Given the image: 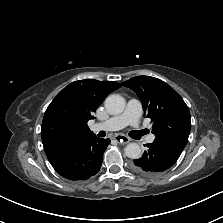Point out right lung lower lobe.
Here are the masks:
<instances>
[{"instance_id": "obj_1", "label": "right lung lower lobe", "mask_w": 223, "mask_h": 223, "mask_svg": "<svg viewBox=\"0 0 223 223\" xmlns=\"http://www.w3.org/2000/svg\"><path fill=\"white\" fill-rule=\"evenodd\" d=\"M109 143L110 139L92 136L77 146L48 156V159L62 177L73 181L87 180L100 170L103 153Z\"/></svg>"}]
</instances>
